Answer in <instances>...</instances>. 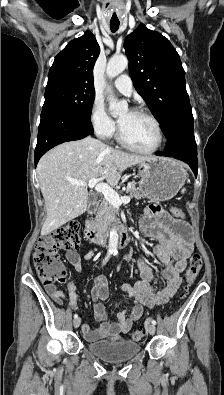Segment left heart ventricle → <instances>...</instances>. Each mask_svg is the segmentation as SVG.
Listing matches in <instances>:
<instances>
[{
  "label": "left heart ventricle",
  "mask_w": 224,
  "mask_h": 395,
  "mask_svg": "<svg viewBox=\"0 0 224 395\" xmlns=\"http://www.w3.org/2000/svg\"><path fill=\"white\" fill-rule=\"evenodd\" d=\"M118 122L123 136L134 146L148 149L156 144V127L146 116L126 110L119 115Z\"/></svg>",
  "instance_id": "left-heart-ventricle-1"
}]
</instances>
